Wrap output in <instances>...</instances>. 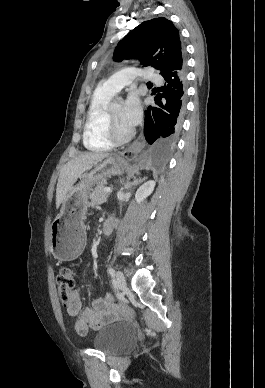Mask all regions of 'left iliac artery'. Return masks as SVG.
Masks as SVG:
<instances>
[{
  "label": "left iliac artery",
  "mask_w": 265,
  "mask_h": 388,
  "mask_svg": "<svg viewBox=\"0 0 265 388\" xmlns=\"http://www.w3.org/2000/svg\"><path fill=\"white\" fill-rule=\"evenodd\" d=\"M108 273L110 274L111 277H114L115 276L114 268H112V267L108 268Z\"/></svg>",
  "instance_id": "obj_1"
}]
</instances>
